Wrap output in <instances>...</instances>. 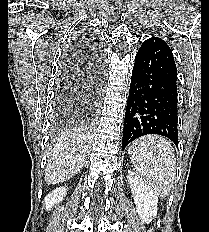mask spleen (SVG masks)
<instances>
[{"mask_svg": "<svg viewBox=\"0 0 209 232\" xmlns=\"http://www.w3.org/2000/svg\"><path fill=\"white\" fill-rule=\"evenodd\" d=\"M134 171L162 198L169 195L176 176V159L171 144L163 137L149 135L128 148Z\"/></svg>", "mask_w": 209, "mask_h": 232, "instance_id": "spleen-1", "label": "spleen"}]
</instances>
